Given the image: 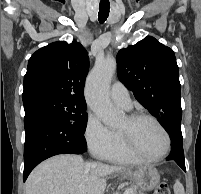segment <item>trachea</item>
Here are the masks:
<instances>
[{
  "label": "trachea",
  "instance_id": "trachea-1",
  "mask_svg": "<svg viewBox=\"0 0 201 194\" xmlns=\"http://www.w3.org/2000/svg\"><path fill=\"white\" fill-rule=\"evenodd\" d=\"M110 10V4L109 2H101L99 6V12H98V19L100 23H103L106 21Z\"/></svg>",
  "mask_w": 201,
  "mask_h": 194
}]
</instances>
